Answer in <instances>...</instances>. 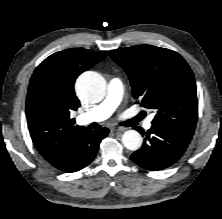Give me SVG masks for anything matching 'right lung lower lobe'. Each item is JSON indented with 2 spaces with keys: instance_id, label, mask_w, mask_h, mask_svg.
<instances>
[{
  "instance_id": "obj_1",
  "label": "right lung lower lobe",
  "mask_w": 222,
  "mask_h": 219,
  "mask_svg": "<svg viewBox=\"0 0 222 219\" xmlns=\"http://www.w3.org/2000/svg\"><path fill=\"white\" fill-rule=\"evenodd\" d=\"M109 133L107 128L88 130L73 146L68 157L56 168L67 173L79 171L95 158L99 144Z\"/></svg>"
}]
</instances>
